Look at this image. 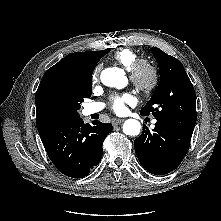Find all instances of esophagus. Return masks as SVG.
<instances>
[{"mask_svg": "<svg viewBox=\"0 0 221 221\" xmlns=\"http://www.w3.org/2000/svg\"><path fill=\"white\" fill-rule=\"evenodd\" d=\"M123 121H124L123 119H115V120H113V124L118 125V124L122 123Z\"/></svg>", "mask_w": 221, "mask_h": 221, "instance_id": "1", "label": "esophagus"}]
</instances>
